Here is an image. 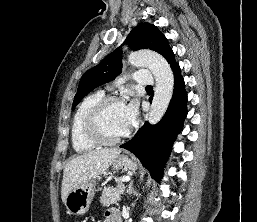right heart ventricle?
Segmentation results:
<instances>
[{"mask_svg":"<svg viewBox=\"0 0 257 222\" xmlns=\"http://www.w3.org/2000/svg\"><path fill=\"white\" fill-rule=\"evenodd\" d=\"M104 98L102 91H97L85 97L78 106L71 123V143L73 149L78 152H87L97 147V144L92 142L84 132L85 118L90 109L101 99Z\"/></svg>","mask_w":257,"mask_h":222,"instance_id":"e07e8e85","label":"right heart ventricle"}]
</instances>
